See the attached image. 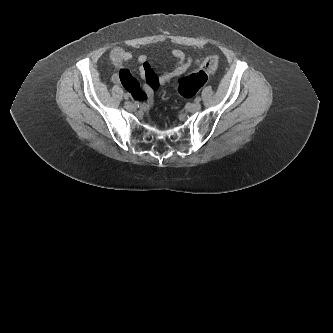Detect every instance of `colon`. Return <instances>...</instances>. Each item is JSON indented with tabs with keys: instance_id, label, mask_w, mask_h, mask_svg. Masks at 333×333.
I'll return each mask as SVG.
<instances>
[{
	"instance_id": "obj_1",
	"label": "colon",
	"mask_w": 333,
	"mask_h": 333,
	"mask_svg": "<svg viewBox=\"0 0 333 333\" xmlns=\"http://www.w3.org/2000/svg\"><path fill=\"white\" fill-rule=\"evenodd\" d=\"M218 63V57H208L203 61L198 70L187 77L181 78L178 82V92L180 95L189 98L198 93L206 83L208 74L216 70Z\"/></svg>"
}]
</instances>
